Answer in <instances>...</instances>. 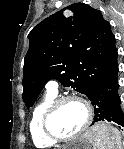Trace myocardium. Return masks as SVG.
I'll return each instance as SVG.
<instances>
[{
    "mask_svg": "<svg viewBox=\"0 0 124 149\" xmlns=\"http://www.w3.org/2000/svg\"><path fill=\"white\" fill-rule=\"evenodd\" d=\"M68 101H76V102L81 103L86 109V119H85L83 126L81 127L79 131L67 137H60L52 131L50 123L58 107ZM93 115H94L93 107L91 103L85 98L77 96V95L61 96V97L56 98L47 108L44 114V117H43L42 129H43L45 136L54 142H58V143L69 142L81 136L89 129L93 121Z\"/></svg>",
    "mask_w": 124,
    "mask_h": 149,
    "instance_id": "myocardium-1",
    "label": "myocardium"
}]
</instances>
